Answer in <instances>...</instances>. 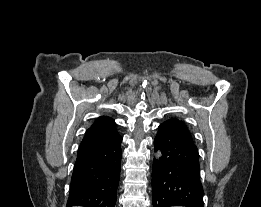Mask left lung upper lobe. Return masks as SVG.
Returning a JSON list of instances; mask_svg holds the SVG:
<instances>
[{
  "instance_id": "obj_1",
  "label": "left lung upper lobe",
  "mask_w": 261,
  "mask_h": 207,
  "mask_svg": "<svg viewBox=\"0 0 261 207\" xmlns=\"http://www.w3.org/2000/svg\"><path fill=\"white\" fill-rule=\"evenodd\" d=\"M171 120L174 121L175 123H177L180 126V128L184 131L186 138L192 143L193 147L197 150V147L194 144L192 134L190 133L186 124L183 121L176 119V118H172Z\"/></svg>"
}]
</instances>
